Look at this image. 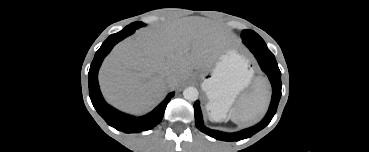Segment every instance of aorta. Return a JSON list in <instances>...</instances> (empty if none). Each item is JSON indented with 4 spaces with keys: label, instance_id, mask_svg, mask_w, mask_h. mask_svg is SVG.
<instances>
[{
    "label": "aorta",
    "instance_id": "aorta-1",
    "mask_svg": "<svg viewBox=\"0 0 369 152\" xmlns=\"http://www.w3.org/2000/svg\"><path fill=\"white\" fill-rule=\"evenodd\" d=\"M198 95V90L195 87H188L183 91V96L188 101H196Z\"/></svg>",
    "mask_w": 369,
    "mask_h": 152
}]
</instances>
